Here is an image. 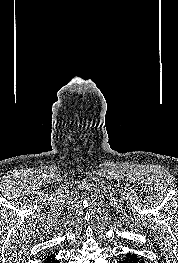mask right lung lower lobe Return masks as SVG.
Instances as JSON below:
<instances>
[{"instance_id":"1","label":"right lung lower lobe","mask_w":178,"mask_h":263,"mask_svg":"<svg viewBox=\"0 0 178 263\" xmlns=\"http://www.w3.org/2000/svg\"><path fill=\"white\" fill-rule=\"evenodd\" d=\"M44 263H58V261L54 259V254H51L46 256Z\"/></svg>"}]
</instances>
